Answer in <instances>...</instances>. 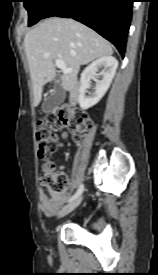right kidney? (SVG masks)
I'll use <instances>...</instances> for the list:
<instances>
[{
    "instance_id": "ca27d5eb",
    "label": "right kidney",
    "mask_w": 158,
    "mask_h": 275,
    "mask_svg": "<svg viewBox=\"0 0 158 275\" xmlns=\"http://www.w3.org/2000/svg\"><path fill=\"white\" fill-rule=\"evenodd\" d=\"M103 67L104 70L101 73L102 80L96 85L93 94H87V89L90 87V80L95 77L97 70ZM118 67V61L112 56L101 57L92 62L88 67L85 68L81 74L80 79V91L78 102L82 109H88L96 105L101 98L105 95L108 90L112 79L116 73Z\"/></svg>"
}]
</instances>
